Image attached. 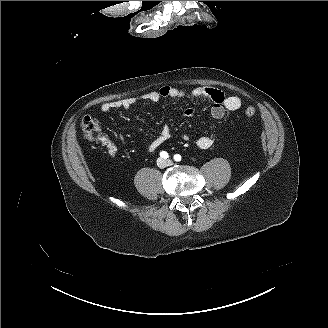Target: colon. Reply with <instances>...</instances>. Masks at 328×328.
Here are the masks:
<instances>
[{
	"label": "colon",
	"mask_w": 328,
	"mask_h": 328,
	"mask_svg": "<svg viewBox=\"0 0 328 328\" xmlns=\"http://www.w3.org/2000/svg\"><path fill=\"white\" fill-rule=\"evenodd\" d=\"M256 114V109L249 106L245 109V115L247 117H253ZM81 129L84 136L87 139H95L99 137L100 125L99 123L90 116H85L81 122Z\"/></svg>",
	"instance_id": "1"
}]
</instances>
